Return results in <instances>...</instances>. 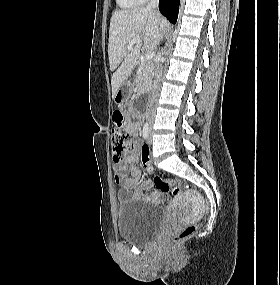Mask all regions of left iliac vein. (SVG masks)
<instances>
[{
	"label": "left iliac vein",
	"mask_w": 280,
	"mask_h": 285,
	"mask_svg": "<svg viewBox=\"0 0 280 285\" xmlns=\"http://www.w3.org/2000/svg\"><path fill=\"white\" fill-rule=\"evenodd\" d=\"M148 142H149V143L152 142V139H151V131H150V136H149Z\"/></svg>",
	"instance_id": "obj_1"
}]
</instances>
